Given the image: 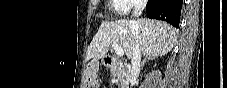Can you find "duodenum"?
I'll return each mask as SVG.
<instances>
[{"instance_id":"duodenum-1","label":"duodenum","mask_w":227,"mask_h":88,"mask_svg":"<svg viewBox=\"0 0 227 88\" xmlns=\"http://www.w3.org/2000/svg\"><path fill=\"white\" fill-rule=\"evenodd\" d=\"M117 62H118V61H117L116 58H107V59L105 60L104 65H105L106 67H111V66H113V65H116Z\"/></svg>"}]
</instances>
